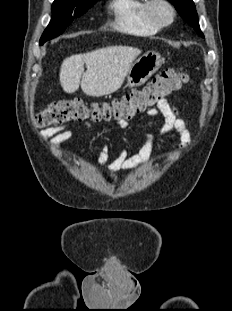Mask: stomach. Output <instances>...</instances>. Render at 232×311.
Segmentation results:
<instances>
[{
    "instance_id": "0dacf381",
    "label": "stomach",
    "mask_w": 232,
    "mask_h": 311,
    "mask_svg": "<svg viewBox=\"0 0 232 311\" xmlns=\"http://www.w3.org/2000/svg\"><path fill=\"white\" fill-rule=\"evenodd\" d=\"M164 63L163 57L155 51H148L139 57L126 75V87H136L145 83Z\"/></svg>"
}]
</instances>
